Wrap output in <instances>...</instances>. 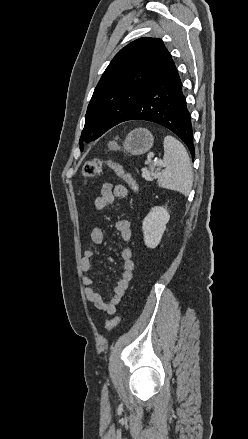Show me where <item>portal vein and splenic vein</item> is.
<instances>
[{"instance_id":"portal-vein-and-splenic-vein-1","label":"portal vein and splenic vein","mask_w":248,"mask_h":439,"mask_svg":"<svg viewBox=\"0 0 248 439\" xmlns=\"http://www.w3.org/2000/svg\"><path fill=\"white\" fill-rule=\"evenodd\" d=\"M150 168L153 169L154 167H153L152 165H150ZM157 170H160V169L157 168ZM142 177L145 178V179H147V180H150V179H151V177H150V172H149V171H144V172L142 173Z\"/></svg>"}]
</instances>
